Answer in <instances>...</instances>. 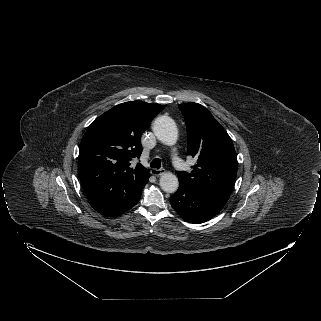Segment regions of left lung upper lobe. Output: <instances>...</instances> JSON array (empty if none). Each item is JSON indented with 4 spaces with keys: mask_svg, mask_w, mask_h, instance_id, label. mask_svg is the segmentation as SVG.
Here are the masks:
<instances>
[{
    "mask_svg": "<svg viewBox=\"0 0 321 321\" xmlns=\"http://www.w3.org/2000/svg\"><path fill=\"white\" fill-rule=\"evenodd\" d=\"M188 135V154L197 159L189 174L178 172L179 183L231 193L237 176V155L231 138L212 114L198 103L179 105Z\"/></svg>",
    "mask_w": 321,
    "mask_h": 321,
    "instance_id": "1",
    "label": "left lung upper lobe"
}]
</instances>
